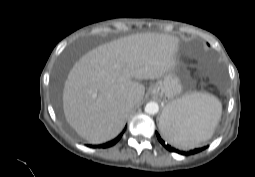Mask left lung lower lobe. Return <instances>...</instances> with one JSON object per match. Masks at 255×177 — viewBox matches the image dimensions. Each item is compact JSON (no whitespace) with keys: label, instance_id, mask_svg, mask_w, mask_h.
<instances>
[{"label":"left lung lower lobe","instance_id":"0a47b994","mask_svg":"<svg viewBox=\"0 0 255 177\" xmlns=\"http://www.w3.org/2000/svg\"><path fill=\"white\" fill-rule=\"evenodd\" d=\"M156 135H157V138H158L159 142H160L167 150H169L170 152H175V153L181 154V155H185V156L193 155V154L199 153V152H201V151H203V150H205V149L207 148V146H206V147H202V148H195V149L190 150V151H182V150H179V149H177V148L172 147V146L169 145V144H166V143L164 142V140L161 139L160 135H159L157 132H156Z\"/></svg>","mask_w":255,"mask_h":177}]
</instances>
